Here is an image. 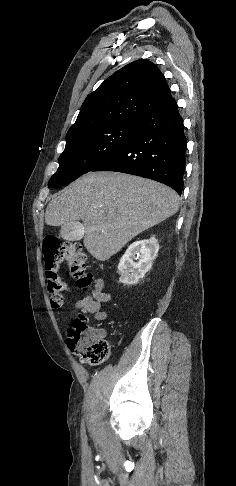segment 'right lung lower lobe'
Returning <instances> with one entry per match:
<instances>
[{
  "label": "right lung lower lobe",
  "instance_id": "98d812e1",
  "mask_svg": "<svg viewBox=\"0 0 236 486\" xmlns=\"http://www.w3.org/2000/svg\"><path fill=\"white\" fill-rule=\"evenodd\" d=\"M187 140L177 104L137 122L133 138L91 171H116L149 178L183 191Z\"/></svg>",
  "mask_w": 236,
  "mask_h": 486
}]
</instances>
